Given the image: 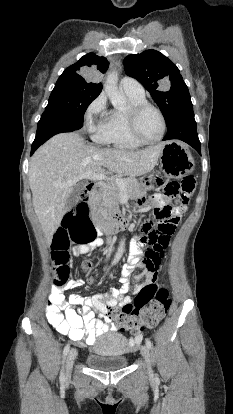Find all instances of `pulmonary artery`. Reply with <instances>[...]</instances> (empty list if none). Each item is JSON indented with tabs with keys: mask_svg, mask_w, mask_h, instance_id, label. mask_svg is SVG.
<instances>
[{
	"mask_svg": "<svg viewBox=\"0 0 233 414\" xmlns=\"http://www.w3.org/2000/svg\"><path fill=\"white\" fill-rule=\"evenodd\" d=\"M120 87L125 93L144 96L145 91L143 86L134 78L124 77L120 81Z\"/></svg>",
	"mask_w": 233,
	"mask_h": 414,
	"instance_id": "e3ab8cb5",
	"label": "pulmonary artery"
}]
</instances>
